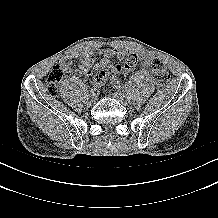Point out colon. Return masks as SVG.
I'll return each instance as SVG.
<instances>
[{
  "mask_svg": "<svg viewBox=\"0 0 218 218\" xmlns=\"http://www.w3.org/2000/svg\"><path fill=\"white\" fill-rule=\"evenodd\" d=\"M151 70L155 76L158 85L160 87H164L168 83L170 76L163 61H161L160 59H153L151 62ZM121 73H123L122 66L110 65L96 76V82L98 84H102L109 79L117 77ZM62 79V68L59 65L54 66L48 76L46 85L47 92L50 95H57Z\"/></svg>",
  "mask_w": 218,
  "mask_h": 218,
  "instance_id": "5ec220e1",
  "label": "colon"
}]
</instances>
